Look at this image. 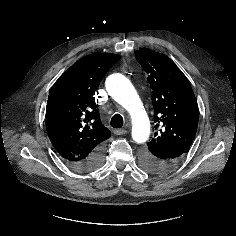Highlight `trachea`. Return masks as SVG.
<instances>
[{
	"label": "trachea",
	"instance_id": "obj_1",
	"mask_svg": "<svg viewBox=\"0 0 236 236\" xmlns=\"http://www.w3.org/2000/svg\"><path fill=\"white\" fill-rule=\"evenodd\" d=\"M113 128H121L123 126V118L120 114H115L110 122Z\"/></svg>",
	"mask_w": 236,
	"mask_h": 236
}]
</instances>
